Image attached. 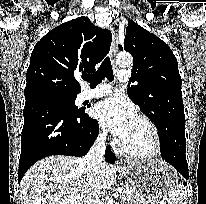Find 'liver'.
Returning a JSON list of instances; mask_svg holds the SVG:
<instances>
[{
	"label": "liver",
	"instance_id": "6515ba94",
	"mask_svg": "<svg viewBox=\"0 0 206 204\" xmlns=\"http://www.w3.org/2000/svg\"><path fill=\"white\" fill-rule=\"evenodd\" d=\"M102 171L100 185L105 191L113 185L116 171L109 164H103ZM88 189L83 159L50 156L35 163L22 178L21 204H84Z\"/></svg>",
	"mask_w": 206,
	"mask_h": 204
}]
</instances>
